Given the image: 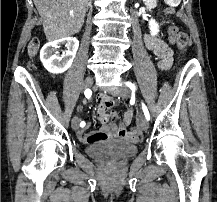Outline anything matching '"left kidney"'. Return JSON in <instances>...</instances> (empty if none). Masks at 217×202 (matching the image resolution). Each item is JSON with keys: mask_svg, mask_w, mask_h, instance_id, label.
<instances>
[{"mask_svg": "<svg viewBox=\"0 0 217 202\" xmlns=\"http://www.w3.org/2000/svg\"><path fill=\"white\" fill-rule=\"evenodd\" d=\"M148 26L151 36H157V34H159L160 30L158 22H155V20H149Z\"/></svg>", "mask_w": 217, "mask_h": 202, "instance_id": "left-kidney-1", "label": "left kidney"}]
</instances>
